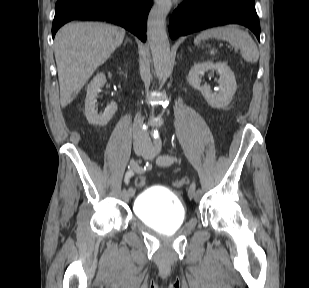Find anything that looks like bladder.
<instances>
[{
    "instance_id": "1",
    "label": "bladder",
    "mask_w": 309,
    "mask_h": 288,
    "mask_svg": "<svg viewBox=\"0 0 309 288\" xmlns=\"http://www.w3.org/2000/svg\"><path fill=\"white\" fill-rule=\"evenodd\" d=\"M136 217L146 226L171 232L180 228L186 219L181 197L173 191L150 186L140 192L133 203Z\"/></svg>"
}]
</instances>
